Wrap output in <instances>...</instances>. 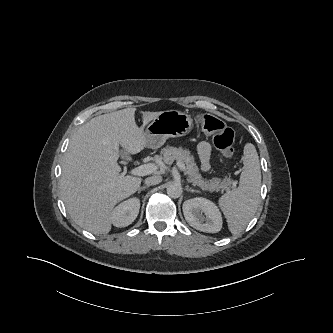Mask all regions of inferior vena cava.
Here are the masks:
<instances>
[{
  "label": "inferior vena cava",
  "mask_w": 333,
  "mask_h": 333,
  "mask_svg": "<svg viewBox=\"0 0 333 333\" xmlns=\"http://www.w3.org/2000/svg\"><path fill=\"white\" fill-rule=\"evenodd\" d=\"M161 181H162V177L159 175H155V176L147 177L145 179V184L156 185V184H159Z\"/></svg>",
  "instance_id": "obj_1"
}]
</instances>
